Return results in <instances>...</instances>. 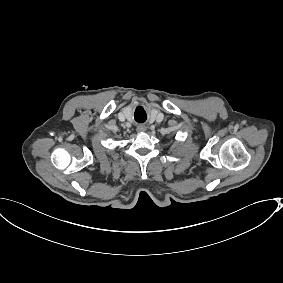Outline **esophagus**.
<instances>
[{"label": "esophagus", "instance_id": "34e87169", "mask_svg": "<svg viewBox=\"0 0 283 283\" xmlns=\"http://www.w3.org/2000/svg\"><path fill=\"white\" fill-rule=\"evenodd\" d=\"M137 132H145L146 131V126L143 124H140L137 126Z\"/></svg>", "mask_w": 283, "mask_h": 283}]
</instances>
